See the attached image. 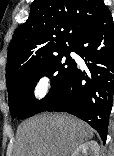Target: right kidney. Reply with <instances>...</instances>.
<instances>
[{
  "label": "right kidney",
  "mask_w": 114,
  "mask_h": 156,
  "mask_svg": "<svg viewBox=\"0 0 114 156\" xmlns=\"http://www.w3.org/2000/svg\"><path fill=\"white\" fill-rule=\"evenodd\" d=\"M100 147L96 141H86L79 145L71 156H99Z\"/></svg>",
  "instance_id": "ca27d5eb"
}]
</instances>
